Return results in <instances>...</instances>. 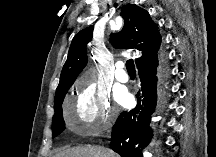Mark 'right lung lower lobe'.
<instances>
[{
	"label": "right lung lower lobe",
	"instance_id": "obj_1",
	"mask_svg": "<svg viewBox=\"0 0 216 157\" xmlns=\"http://www.w3.org/2000/svg\"><path fill=\"white\" fill-rule=\"evenodd\" d=\"M158 56L137 66L141 90L136 94L137 105L129 112H122L113 126L111 148L121 157H143L141 150L150 143L151 114L157 102Z\"/></svg>",
	"mask_w": 216,
	"mask_h": 157
}]
</instances>
